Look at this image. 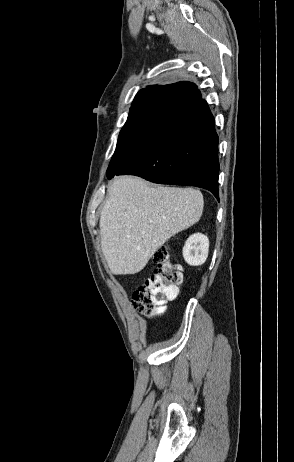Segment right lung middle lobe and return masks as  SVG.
<instances>
[{"mask_svg": "<svg viewBox=\"0 0 294 462\" xmlns=\"http://www.w3.org/2000/svg\"><path fill=\"white\" fill-rule=\"evenodd\" d=\"M187 104L185 99L171 95L131 107L107 175L119 171L142 147L164 132Z\"/></svg>", "mask_w": 294, "mask_h": 462, "instance_id": "dd1d6c3e", "label": "right lung middle lobe"}]
</instances>
